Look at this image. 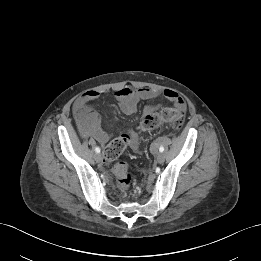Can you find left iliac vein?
<instances>
[{
    "mask_svg": "<svg viewBox=\"0 0 261 261\" xmlns=\"http://www.w3.org/2000/svg\"><path fill=\"white\" fill-rule=\"evenodd\" d=\"M155 159H156V162L159 163V164H162L164 162V160H165L164 155H163L162 152H158L156 154Z\"/></svg>",
    "mask_w": 261,
    "mask_h": 261,
    "instance_id": "4c4485c4",
    "label": "left iliac vein"
}]
</instances>
